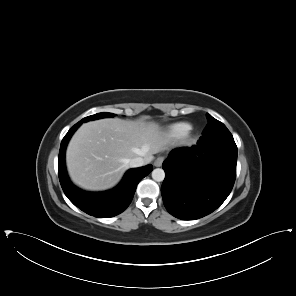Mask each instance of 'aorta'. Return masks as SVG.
Returning a JSON list of instances; mask_svg holds the SVG:
<instances>
[{"label": "aorta", "mask_w": 296, "mask_h": 296, "mask_svg": "<svg viewBox=\"0 0 296 296\" xmlns=\"http://www.w3.org/2000/svg\"><path fill=\"white\" fill-rule=\"evenodd\" d=\"M152 178L157 181V182H161L164 180L165 178V172L163 169L161 168H156L152 171Z\"/></svg>", "instance_id": "762f6f07"}]
</instances>
